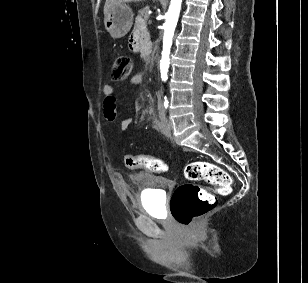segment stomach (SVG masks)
Returning a JSON list of instances; mask_svg holds the SVG:
<instances>
[{
    "mask_svg": "<svg viewBox=\"0 0 308 283\" xmlns=\"http://www.w3.org/2000/svg\"><path fill=\"white\" fill-rule=\"evenodd\" d=\"M133 12L125 4L112 7L104 16V25L108 33L115 39L124 37L131 29Z\"/></svg>",
    "mask_w": 308,
    "mask_h": 283,
    "instance_id": "0dacf381",
    "label": "stomach"
}]
</instances>
